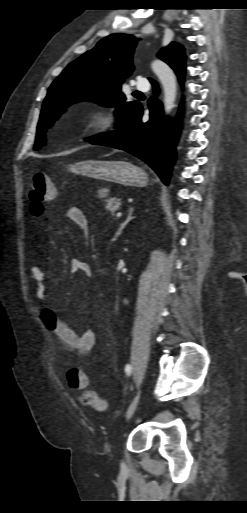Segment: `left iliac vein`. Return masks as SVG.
<instances>
[{
    "instance_id": "1",
    "label": "left iliac vein",
    "mask_w": 247,
    "mask_h": 513,
    "mask_svg": "<svg viewBox=\"0 0 247 513\" xmlns=\"http://www.w3.org/2000/svg\"><path fill=\"white\" fill-rule=\"evenodd\" d=\"M139 399H140V391L136 394V396L134 397V399L132 400V402L129 406V409L126 414L127 420H129L132 417V415L134 414V412L138 406ZM122 468H124V463H122Z\"/></svg>"
}]
</instances>
